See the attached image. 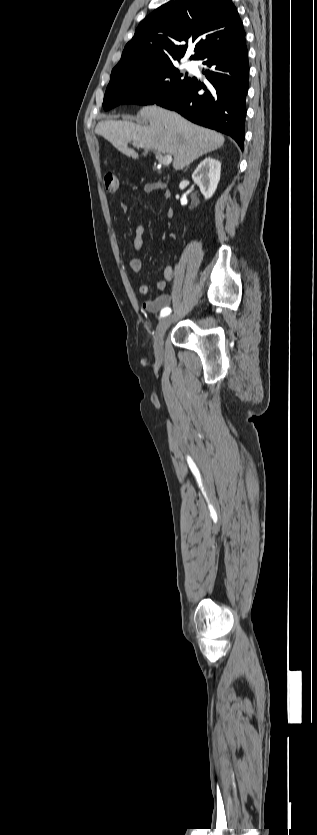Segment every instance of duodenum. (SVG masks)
I'll use <instances>...</instances> for the list:
<instances>
[{
	"instance_id": "obj_1",
	"label": "duodenum",
	"mask_w": 317,
	"mask_h": 835,
	"mask_svg": "<svg viewBox=\"0 0 317 835\" xmlns=\"http://www.w3.org/2000/svg\"><path fill=\"white\" fill-rule=\"evenodd\" d=\"M155 185H156V187H157V188L161 191V193H162V195H163V197H164V198H166V199H167V198H169V197H170V191H169V189H168V187H167V185H166V183H165V182H163V181H157Z\"/></svg>"
}]
</instances>
